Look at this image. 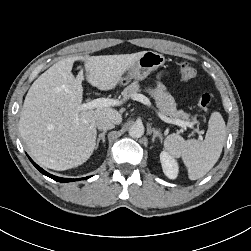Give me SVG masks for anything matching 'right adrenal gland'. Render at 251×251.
Wrapping results in <instances>:
<instances>
[{"instance_id":"2a0ac1e0","label":"right adrenal gland","mask_w":251,"mask_h":251,"mask_svg":"<svg viewBox=\"0 0 251 251\" xmlns=\"http://www.w3.org/2000/svg\"><path fill=\"white\" fill-rule=\"evenodd\" d=\"M106 132H107V131H103L102 133H100V134L98 135V138H97V141H96L95 149H98L100 140H102V143L104 144Z\"/></svg>"}]
</instances>
